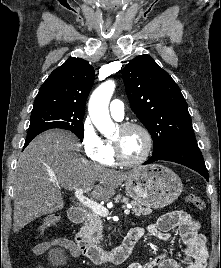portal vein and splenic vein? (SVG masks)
<instances>
[{"label": "portal vein and splenic vein", "mask_w": 221, "mask_h": 268, "mask_svg": "<svg viewBox=\"0 0 221 268\" xmlns=\"http://www.w3.org/2000/svg\"><path fill=\"white\" fill-rule=\"evenodd\" d=\"M90 191V187H87L86 189H77L75 191V197L79 200V202L84 205L85 207L91 209L94 213L100 216H107L109 214V211L106 207L103 205L97 203L96 201L89 199L88 197L84 196L83 194L85 192ZM131 206H128L124 213L128 215L130 213Z\"/></svg>", "instance_id": "1"}]
</instances>
